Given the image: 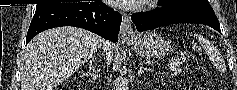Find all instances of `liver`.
<instances>
[{
    "label": "liver",
    "instance_id": "1",
    "mask_svg": "<svg viewBox=\"0 0 237 90\" xmlns=\"http://www.w3.org/2000/svg\"><path fill=\"white\" fill-rule=\"evenodd\" d=\"M99 48L111 62L114 46L82 28H53L35 36L23 56L22 90H54L73 76Z\"/></svg>",
    "mask_w": 237,
    "mask_h": 90
}]
</instances>
